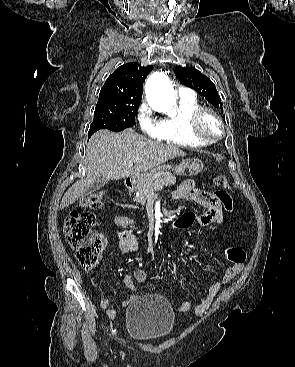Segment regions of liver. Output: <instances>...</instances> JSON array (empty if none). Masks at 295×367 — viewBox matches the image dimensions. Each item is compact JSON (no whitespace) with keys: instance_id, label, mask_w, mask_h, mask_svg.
<instances>
[{"instance_id":"liver-1","label":"liver","mask_w":295,"mask_h":367,"mask_svg":"<svg viewBox=\"0 0 295 367\" xmlns=\"http://www.w3.org/2000/svg\"><path fill=\"white\" fill-rule=\"evenodd\" d=\"M185 155L177 146L149 140L131 128L121 133L99 130L91 136L87 144V176L68 189L61 200L60 208L73 204L100 178H135L168 160Z\"/></svg>"}]
</instances>
